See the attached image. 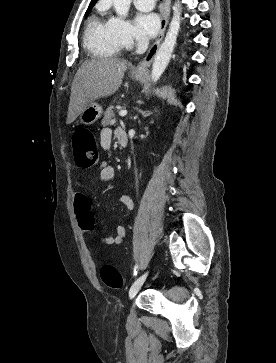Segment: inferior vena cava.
Returning a JSON list of instances; mask_svg holds the SVG:
<instances>
[{
  "label": "inferior vena cava",
  "mask_w": 276,
  "mask_h": 363,
  "mask_svg": "<svg viewBox=\"0 0 276 363\" xmlns=\"http://www.w3.org/2000/svg\"><path fill=\"white\" fill-rule=\"evenodd\" d=\"M148 45H149V38L146 37V36L140 37L138 39V44H137V50H136V52L138 54L144 53L147 50Z\"/></svg>",
  "instance_id": "602c4592"
}]
</instances>
